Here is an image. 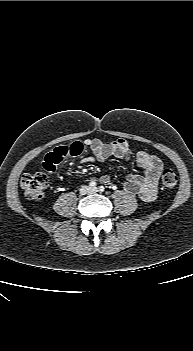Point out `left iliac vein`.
I'll list each match as a JSON object with an SVG mask.
<instances>
[{"label": "left iliac vein", "mask_w": 193, "mask_h": 351, "mask_svg": "<svg viewBox=\"0 0 193 351\" xmlns=\"http://www.w3.org/2000/svg\"><path fill=\"white\" fill-rule=\"evenodd\" d=\"M97 191H98V188H96V187H94V188L91 189V192H92V193H96Z\"/></svg>", "instance_id": "left-iliac-vein-1"}]
</instances>
